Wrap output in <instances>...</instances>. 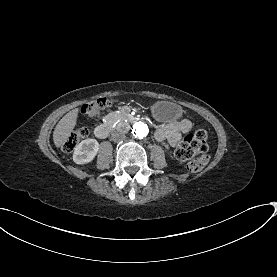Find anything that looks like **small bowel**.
Instances as JSON below:
<instances>
[{
    "mask_svg": "<svg viewBox=\"0 0 277 277\" xmlns=\"http://www.w3.org/2000/svg\"><path fill=\"white\" fill-rule=\"evenodd\" d=\"M193 129V123L188 119L175 120L161 125L155 132L157 141L167 150H172L178 145L182 136Z\"/></svg>",
    "mask_w": 277,
    "mask_h": 277,
    "instance_id": "1",
    "label": "small bowel"
}]
</instances>
